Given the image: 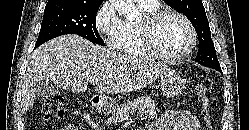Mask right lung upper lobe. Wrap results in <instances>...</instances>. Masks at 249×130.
Returning a JSON list of instances; mask_svg holds the SVG:
<instances>
[{
    "label": "right lung upper lobe",
    "mask_w": 249,
    "mask_h": 130,
    "mask_svg": "<svg viewBox=\"0 0 249 130\" xmlns=\"http://www.w3.org/2000/svg\"><path fill=\"white\" fill-rule=\"evenodd\" d=\"M60 1H71L75 3H83V4H95L102 3L103 0H49L46 5H50L52 3L60 2Z\"/></svg>",
    "instance_id": "cb5924a9"
}]
</instances>
